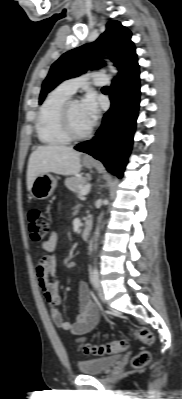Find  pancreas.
Segmentation results:
<instances>
[{
	"label": "pancreas",
	"instance_id": "cf45deb5",
	"mask_svg": "<svg viewBox=\"0 0 182 399\" xmlns=\"http://www.w3.org/2000/svg\"><path fill=\"white\" fill-rule=\"evenodd\" d=\"M87 183L86 177H70L65 180L66 187L74 193L80 194L81 188Z\"/></svg>",
	"mask_w": 182,
	"mask_h": 399
}]
</instances>
